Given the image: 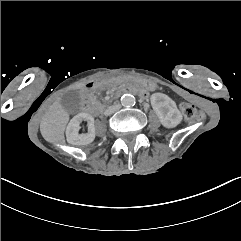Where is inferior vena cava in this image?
Wrapping results in <instances>:
<instances>
[{"instance_id":"inferior-vena-cava-1","label":"inferior vena cava","mask_w":241,"mask_h":241,"mask_svg":"<svg viewBox=\"0 0 241 241\" xmlns=\"http://www.w3.org/2000/svg\"><path fill=\"white\" fill-rule=\"evenodd\" d=\"M120 109V105H113L107 108L104 112L105 116H110L112 113L116 112L117 110Z\"/></svg>"}]
</instances>
